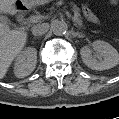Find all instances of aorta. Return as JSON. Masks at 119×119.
<instances>
[{"mask_svg":"<svg viewBox=\"0 0 119 119\" xmlns=\"http://www.w3.org/2000/svg\"><path fill=\"white\" fill-rule=\"evenodd\" d=\"M51 29L55 35L62 36L68 31V25L64 21L56 20L51 24Z\"/></svg>","mask_w":119,"mask_h":119,"instance_id":"1","label":"aorta"}]
</instances>
